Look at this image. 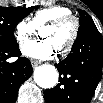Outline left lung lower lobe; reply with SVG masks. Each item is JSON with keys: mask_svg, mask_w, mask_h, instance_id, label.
<instances>
[{"mask_svg": "<svg viewBox=\"0 0 103 103\" xmlns=\"http://www.w3.org/2000/svg\"><path fill=\"white\" fill-rule=\"evenodd\" d=\"M59 84L44 91L46 103H90L103 70V40L98 30L78 37L64 60L55 65Z\"/></svg>", "mask_w": 103, "mask_h": 103, "instance_id": "left-lung-lower-lobe-1", "label": "left lung lower lobe"}]
</instances>
